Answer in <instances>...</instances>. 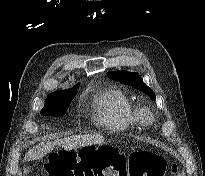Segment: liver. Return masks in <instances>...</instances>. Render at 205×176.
Returning <instances> with one entry per match:
<instances>
[{
	"label": "liver",
	"instance_id": "6515ba94",
	"mask_svg": "<svg viewBox=\"0 0 205 176\" xmlns=\"http://www.w3.org/2000/svg\"><path fill=\"white\" fill-rule=\"evenodd\" d=\"M104 142V137L100 134L91 135H72L58 139L53 142H41L28 151L24 161L42 159L47 153L51 152L55 145L63 147L66 151L77 149L89 145H96Z\"/></svg>",
	"mask_w": 205,
	"mask_h": 176
}]
</instances>
